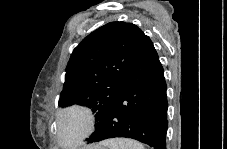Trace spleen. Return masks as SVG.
<instances>
[{"mask_svg": "<svg viewBox=\"0 0 227 149\" xmlns=\"http://www.w3.org/2000/svg\"><path fill=\"white\" fill-rule=\"evenodd\" d=\"M102 145L107 146L108 149H144V146L132 139L116 138L104 141Z\"/></svg>", "mask_w": 227, "mask_h": 149, "instance_id": "spleen-1", "label": "spleen"}]
</instances>
